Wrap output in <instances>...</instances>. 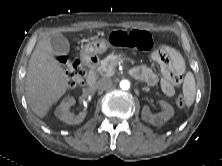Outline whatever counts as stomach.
Instances as JSON below:
<instances>
[{
	"label": "stomach",
	"mask_w": 222,
	"mask_h": 166,
	"mask_svg": "<svg viewBox=\"0 0 222 166\" xmlns=\"http://www.w3.org/2000/svg\"><path fill=\"white\" fill-rule=\"evenodd\" d=\"M110 47L106 39H94L85 45V52L89 55L102 54Z\"/></svg>",
	"instance_id": "obj_1"
}]
</instances>
